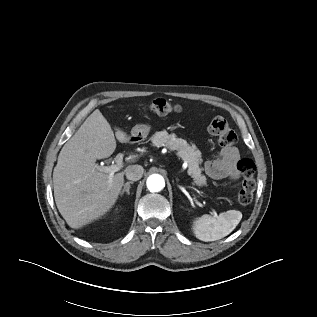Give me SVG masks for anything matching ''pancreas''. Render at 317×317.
Returning a JSON list of instances; mask_svg holds the SVG:
<instances>
[{
  "label": "pancreas",
  "instance_id": "pancreas-1",
  "mask_svg": "<svg viewBox=\"0 0 317 317\" xmlns=\"http://www.w3.org/2000/svg\"><path fill=\"white\" fill-rule=\"evenodd\" d=\"M151 140L156 147L164 146L171 151H176V155L188 164V174L194 178V184L206 185V177L201 174L199 166L202 163L201 152L196 146H190L186 140L178 138L174 133L169 134L165 130L156 132Z\"/></svg>",
  "mask_w": 317,
  "mask_h": 317
}]
</instances>
